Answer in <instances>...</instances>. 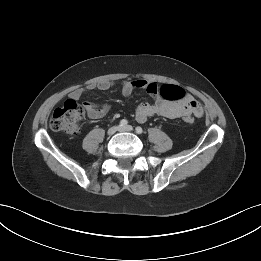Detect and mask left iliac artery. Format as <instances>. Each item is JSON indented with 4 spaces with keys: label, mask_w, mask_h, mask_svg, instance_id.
<instances>
[{
    "label": "left iliac artery",
    "mask_w": 261,
    "mask_h": 261,
    "mask_svg": "<svg viewBox=\"0 0 261 261\" xmlns=\"http://www.w3.org/2000/svg\"><path fill=\"white\" fill-rule=\"evenodd\" d=\"M136 133H138V134H141L142 132H143V130H142V128L141 127H136Z\"/></svg>",
    "instance_id": "44dca946"
}]
</instances>
